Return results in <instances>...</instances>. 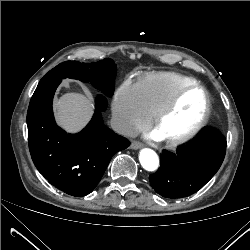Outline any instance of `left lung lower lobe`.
<instances>
[{"label":"left lung lower lobe","instance_id":"1","mask_svg":"<svg viewBox=\"0 0 250 250\" xmlns=\"http://www.w3.org/2000/svg\"><path fill=\"white\" fill-rule=\"evenodd\" d=\"M226 140L212 128L203 129L190 144L176 153L163 151L161 166L149 176L152 188L166 198H183L198 191L220 168Z\"/></svg>","mask_w":250,"mask_h":250}]
</instances>
